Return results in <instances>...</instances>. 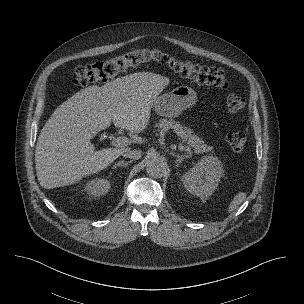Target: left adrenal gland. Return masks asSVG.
Masks as SVG:
<instances>
[{
	"label": "left adrenal gland",
	"mask_w": 304,
	"mask_h": 304,
	"mask_svg": "<svg viewBox=\"0 0 304 304\" xmlns=\"http://www.w3.org/2000/svg\"><path fill=\"white\" fill-rule=\"evenodd\" d=\"M171 155L175 156L177 159H176V167L179 166V164L186 158H189L190 155L188 154H184V155H180V154H177V153H171Z\"/></svg>",
	"instance_id": "obj_1"
}]
</instances>
